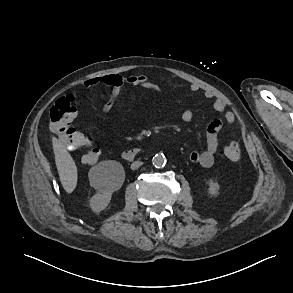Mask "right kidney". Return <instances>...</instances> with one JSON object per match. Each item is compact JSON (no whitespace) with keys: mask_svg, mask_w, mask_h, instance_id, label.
I'll use <instances>...</instances> for the list:
<instances>
[{"mask_svg":"<svg viewBox=\"0 0 293 293\" xmlns=\"http://www.w3.org/2000/svg\"><path fill=\"white\" fill-rule=\"evenodd\" d=\"M105 177L101 185L97 186V193L90 199V207L94 212L104 210L110 203L112 193L121 188L125 172L123 166L117 161H104Z\"/></svg>","mask_w":293,"mask_h":293,"instance_id":"obj_1","label":"right kidney"}]
</instances>
